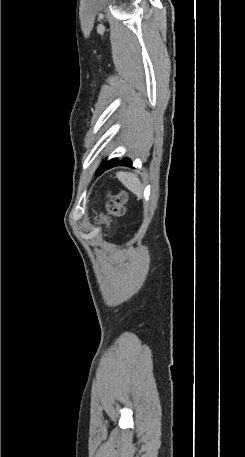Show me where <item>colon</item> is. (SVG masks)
<instances>
[{"instance_id":"colon-1","label":"colon","mask_w":245,"mask_h":457,"mask_svg":"<svg viewBox=\"0 0 245 457\" xmlns=\"http://www.w3.org/2000/svg\"><path fill=\"white\" fill-rule=\"evenodd\" d=\"M127 194L123 191L113 192L106 205L107 212L102 216V223L108 225L111 217H121L125 213Z\"/></svg>"}]
</instances>
